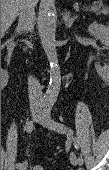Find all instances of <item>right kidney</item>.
I'll use <instances>...</instances> for the list:
<instances>
[{
  "label": "right kidney",
  "mask_w": 109,
  "mask_h": 170,
  "mask_svg": "<svg viewBox=\"0 0 109 170\" xmlns=\"http://www.w3.org/2000/svg\"><path fill=\"white\" fill-rule=\"evenodd\" d=\"M4 80H5V81L8 80V74H7V73H4V75H3L2 81L4 82ZM3 84H4V83H3Z\"/></svg>",
  "instance_id": "1"
}]
</instances>
